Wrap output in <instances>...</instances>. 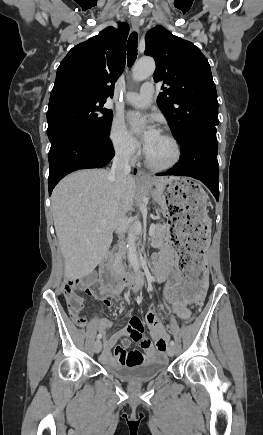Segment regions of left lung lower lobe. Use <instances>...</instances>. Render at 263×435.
I'll return each mask as SVG.
<instances>
[{"instance_id":"left-lung-lower-lobe-1","label":"left lung lower lobe","mask_w":263,"mask_h":435,"mask_svg":"<svg viewBox=\"0 0 263 435\" xmlns=\"http://www.w3.org/2000/svg\"><path fill=\"white\" fill-rule=\"evenodd\" d=\"M181 159L176 167L157 175L190 176L202 181L219 199L218 142L216 130H199L189 133L180 142Z\"/></svg>"}]
</instances>
